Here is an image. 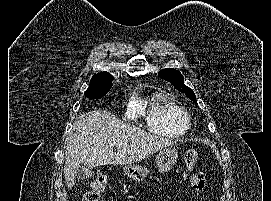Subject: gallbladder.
Listing matches in <instances>:
<instances>
[{
	"label": "gallbladder",
	"mask_w": 271,
	"mask_h": 201,
	"mask_svg": "<svg viewBox=\"0 0 271 201\" xmlns=\"http://www.w3.org/2000/svg\"><path fill=\"white\" fill-rule=\"evenodd\" d=\"M94 176V171L92 168H87L85 166H78L75 170V177L79 180H86Z\"/></svg>",
	"instance_id": "bac80fb5"
}]
</instances>
